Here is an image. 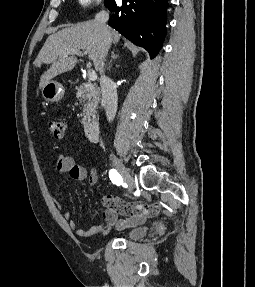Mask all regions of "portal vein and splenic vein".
I'll use <instances>...</instances> for the list:
<instances>
[{"label": "portal vein and splenic vein", "mask_w": 255, "mask_h": 287, "mask_svg": "<svg viewBox=\"0 0 255 287\" xmlns=\"http://www.w3.org/2000/svg\"><path fill=\"white\" fill-rule=\"evenodd\" d=\"M76 54H77V56H84V54H82V52H76ZM88 76H89V80H91V82H95V80H97V74H96V72H94V70H89Z\"/></svg>", "instance_id": "18ae733b"}]
</instances>
